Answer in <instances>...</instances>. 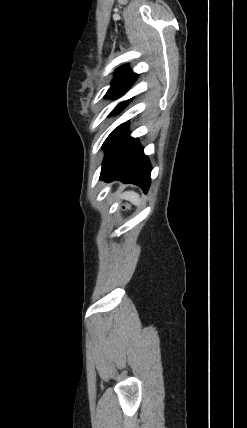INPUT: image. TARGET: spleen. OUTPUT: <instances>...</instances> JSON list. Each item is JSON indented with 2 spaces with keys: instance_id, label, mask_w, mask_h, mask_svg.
Returning <instances> with one entry per match:
<instances>
[{
  "instance_id": "3e777b00",
  "label": "spleen",
  "mask_w": 247,
  "mask_h": 428,
  "mask_svg": "<svg viewBox=\"0 0 247 428\" xmlns=\"http://www.w3.org/2000/svg\"><path fill=\"white\" fill-rule=\"evenodd\" d=\"M121 198L130 201L132 204H134L136 206H139L140 202H141L139 195L136 192H133V191L124 192L121 195Z\"/></svg>"
}]
</instances>
